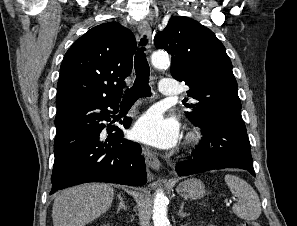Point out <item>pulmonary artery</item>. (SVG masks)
I'll return each mask as SVG.
<instances>
[{
    "instance_id": "pulmonary-artery-1",
    "label": "pulmonary artery",
    "mask_w": 297,
    "mask_h": 226,
    "mask_svg": "<svg viewBox=\"0 0 297 226\" xmlns=\"http://www.w3.org/2000/svg\"><path fill=\"white\" fill-rule=\"evenodd\" d=\"M159 91L162 95L169 97H177L181 93L175 79L172 78L161 80L159 83Z\"/></svg>"
}]
</instances>
